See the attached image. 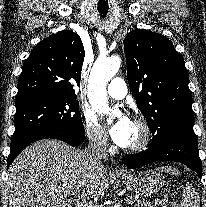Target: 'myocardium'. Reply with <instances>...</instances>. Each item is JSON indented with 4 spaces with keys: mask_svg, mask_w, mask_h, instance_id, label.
<instances>
[{
    "mask_svg": "<svg viewBox=\"0 0 206 207\" xmlns=\"http://www.w3.org/2000/svg\"><path fill=\"white\" fill-rule=\"evenodd\" d=\"M133 122L139 126L141 138L136 144L124 148L128 153H137L145 150L149 146L153 136L152 128L145 119L136 117Z\"/></svg>",
    "mask_w": 206,
    "mask_h": 207,
    "instance_id": "f54148a6",
    "label": "myocardium"
}]
</instances>
